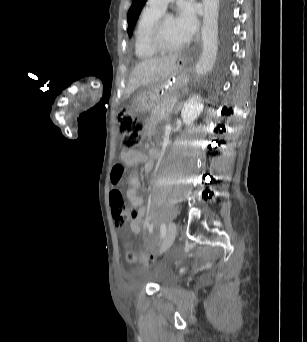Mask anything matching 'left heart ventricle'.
<instances>
[{"instance_id": "b2bd125f", "label": "left heart ventricle", "mask_w": 307, "mask_h": 342, "mask_svg": "<svg viewBox=\"0 0 307 342\" xmlns=\"http://www.w3.org/2000/svg\"><path fill=\"white\" fill-rule=\"evenodd\" d=\"M161 43L169 50H178L185 46V43L176 30L175 20L169 18L163 25L161 31Z\"/></svg>"}]
</instances>
